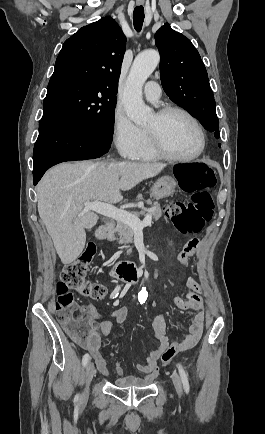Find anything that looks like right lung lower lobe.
<instances>
[{"instance_id":"98d812e1","label":"right lung lower lobe","mask_w":265,"mask_h":434,"mask_svg":"<svg viewBox=\"0 0 265 434\" xmlns=\"http://www.w3.org/2000/svg\"><path fill=\"white\" fill-rule=\"evenodd\" d=\"M111 141L112 135L81 130L60 118L43 116L33 151L34 185L55 164L104 155L108 152Z\"/></svg>"}]
</instances>
